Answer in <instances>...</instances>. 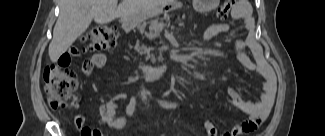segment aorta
<instances>
[{"label": "aorta", "mask_w": 325, "mask_h": 136, "mask_svg": "<svg viewBox=\"0 0 325 136\" xmlns=\"http://www.w3.org/2000/svg\"><path fill=\"white\" fill-rule=\"evenodd\" d=\"M141 98L144 102L147 100V91L144 87L141 89Z\"/></svg>", "instance_id": "762f6f07"}]
</instances>
